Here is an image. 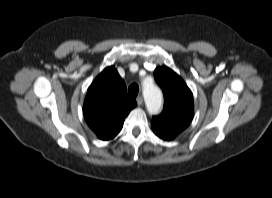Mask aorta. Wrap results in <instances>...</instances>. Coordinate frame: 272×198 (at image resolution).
Returning <instances> with one entry per match:
<instances>
[{
    "mask_svg": "<svg viewBox=\"0 0 272 198\" xmlns=\"http://www.w3.org/2000/svg\"><path fill=\"white\" fill-rule=\"evenodd\" d=\"M143 96L149 114H157L163 102L161 90L153 83L145 84L143 86Z\"/></svg>",
    "mask_w": 272,
    "mask_h": 198,
    "instance_id": "aorta-1",
    "label": "aorta"
}]
</instances>
